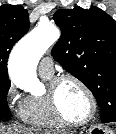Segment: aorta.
Instances as JSON below:
<instances>
[{"label":"aorta","instance_id":"762f6f07","mask_svg":"<svg viewBox=\"0 0 116 134\" xmlns=\"http://www.w3.org/2000/svg\"><path fill=\"white\" fill-rule=\"evenodd\" d=\"M60 37L59 30L49 22H40L13 48L9 59V75L19 88L37 92L42 84L36 75V66L46 50Z\"/></svg>","mask_w":116,"mask_h":134}]
</instances>
